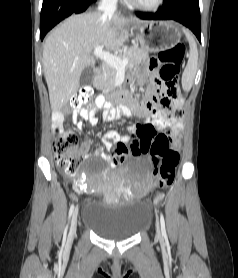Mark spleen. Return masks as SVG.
Masks as SVG:
<instances>
[{"mask_svg":"<svg viewBox=\"0 0 238 278\" xmlns=\"http://www.w3.org/2000/svg\"><path fill=\"white\" fill-rule=\"evenodd\" d=\"M183 32L185 33L186 38L189 41L190 52L187 65L182 75V87L185 91H189L193 85V81L197 71L198 50L192 34L187 29H183Z\"/></svg>","mask_w":238,"mask_h":278,"instance_id":"3e777b00","label":"spleen"}]
</instances>
